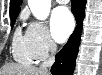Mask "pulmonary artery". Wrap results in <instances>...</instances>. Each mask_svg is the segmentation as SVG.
Here are the masks:
<instances>
[{"mask_svg":"<svg viewBox=\"0 0 102 75\" xmlns=\"http://www.w3.org/2000/svg\"><path fill=\"white\" fill-rule=\"evenodd\" d=\"M57 2H59V3H65V2H68V0H58Z\"/></svg>","mask_w":102,"mask_h":75,"instance_id":"pulmonary-artery-1","label":"pulmonary artery"}]
</instances>
